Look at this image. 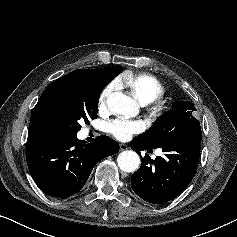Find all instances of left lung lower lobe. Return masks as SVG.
<instances>
[{"instance_id":"obj_1","label":"left lung lower lobe","mask_w":237,"mask_h":237,"mask_svg":"<svg viewBox=\"0 0 237 237\" xmlns=\"http://www.w3.org/2000/svg\"><path fill=\"white\" fill-rule=\"evenodd\" d=\"M201 127L196 122L179 139L159 148L165 153L151 160L146 154L141 167L131 177L133 191L143 200L154 203H166L189 185L197 170L201 149ZM131 148L141 156V150L152 151L139 139L131 143Z\"/></svg>"}]
</instances>
